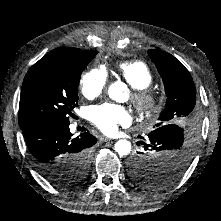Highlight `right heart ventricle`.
Returning a JSON list of instances; mask_svg holds the SVG:
<instances>
[{
  "mask_svg": "<svg viewBox=\"0 0 221 221\" xmlns=\"http://www.w3.org/2000/svg\"><path fill=\"white\" fill-rule=\"evenodd\" d=\"M117 72L134 89L148 87L153 81L151 69L140 60L120 62Z\"/></svg>",
  "mask_w": 221,
  "mask_h": 221,
  "instance_id": "obj_1",
  "label": "right heart ventricle"
}]
</instances>
